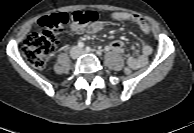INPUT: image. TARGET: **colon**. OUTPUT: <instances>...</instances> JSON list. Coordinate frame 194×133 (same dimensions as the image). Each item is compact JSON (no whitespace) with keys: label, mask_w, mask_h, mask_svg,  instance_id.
<instances>
[{"label":"colon","mask_w":194,"mask_h":133,"mask_svg":"<svg viewBox=\"0 0 194 133\" xmlns=\"http://www.w3.org/2000/svg\"><path fill=\"white\" fill-rule=\"evenodd\" d=\"M98 21L99 14L95 11H75L44 16L39 20L42 30L27 36L23 42L22 53L29 65L37 69L43 68L47 58L57 45L58 34L65 25H71L74 30L82 31ZM123 73L127 77H132L134 69L125 66Z\"/></svg>","instance_id":"colon-1"}]
</instances>
